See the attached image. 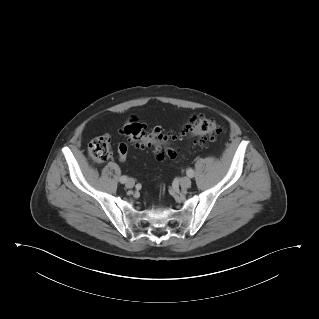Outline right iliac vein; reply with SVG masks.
<instances>
[{
	"label": "right iliac vein",
	"mask_w": 319,
	"mask_h": 319,
	"mask_svg": "<svg viewBox=\"0 0 319 319\" xmlns=\"http://www.w3.org/2000/svg\"><path fill=\"white\" fill-rule=\"evenodd\" d=\"M135 185V182L132 178H129L127 181H126V187L127 188H133Z\"/></svg>",
	"instance_id": "63e3f726"
}]
</instances>
